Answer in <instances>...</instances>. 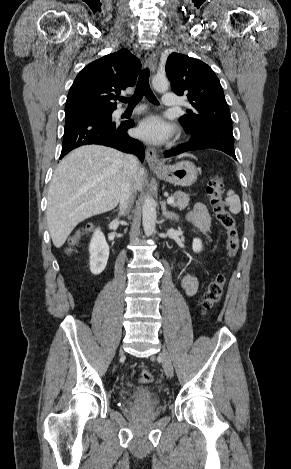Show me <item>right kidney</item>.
Returning a JSON list of instances; mask_svg holds the SVG:
<instances>
[{
    "label": "right kidney",
    "mask_w": 291,
    "mask_h": 469,
    "mask_svg": "<svg viewBox=\"0 0 291 469\" xmlns=\"http://www.w3.org/2000/svg\"><path fill=\"white\" fill-rule=\"evenodd\" d=\"M89 253L91 273L99 275L105 269L109 258V246L99 228L94 231L89 245Z\"/></svg>",
    "instance_id": "right-kidney-1"
}]
</instances>
